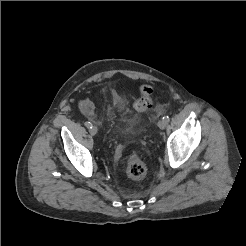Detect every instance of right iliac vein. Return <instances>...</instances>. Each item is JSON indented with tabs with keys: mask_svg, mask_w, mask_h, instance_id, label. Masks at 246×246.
Wrapping results in <instances>:
<instances>
[{
	"mask_svg": "<svg viewBox=\"0 0 246 246\" xmlns=\"http://www.w3.org/2000/svg\"><path fill=\"white\" fill-rule=\"evenodd\" d=\"M90 133L91 135H96L97 134V127L93 126L92 128H90Z\"/></svg>",
	"mask_w": 246,
	"mask_h": 246,
	"instance_id": "obj_1",
	"label": "right iliac vein"
}]
</instances>
